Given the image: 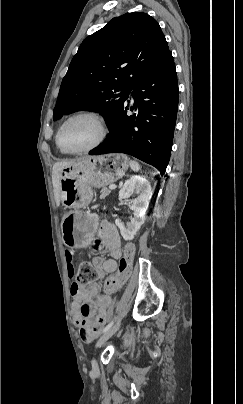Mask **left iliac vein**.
<instances>
[{"label": "left iliac vein", "mask_w": 243, "mask_h": 404, "mask_svg": "<svg viewBox=\"0 0 243 404\" xmlns=\"http://www.w3.org/2000/svg\"><path fill=\"white\" fill-rule=\"evenodd\" d=\"M120 327V322H117L115 325H113L108 331H106L97 341L96 347H100L102 344H104L113 334L117 332V330ZM92 368L94 372L98 371V364L95 359L92 360Z\"/></svg>", "instance_id": "4c4485c4"}]
</instances>
